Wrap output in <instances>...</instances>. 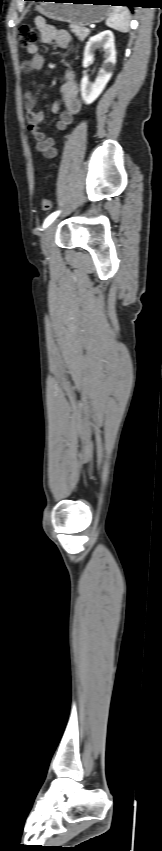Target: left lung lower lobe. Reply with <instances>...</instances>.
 Instances as JSON below:
<instances>
[{"label": "left lung lower lobe", "mask_w": 162, "mask_h": 851, "mask_svg": "<svg viewBox=\"0 0 162 851\" xmlns=\"http://www.w3.org/2000/svg\"><path fill=\"white\" fill-rule=\"evenodd\" d=\"M27 1H42V0H27ZM105 1H106L105 3H110L112 5H123V6L133 7V5L129 2V0H105Z\"/></svg>", "instance_id": "obj_1"}]
</instances>
